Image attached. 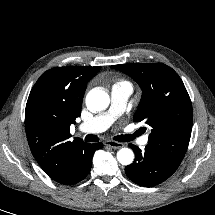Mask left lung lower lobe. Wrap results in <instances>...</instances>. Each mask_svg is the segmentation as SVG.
<instances>
[{
  "mask_svg": "<svg viewBox=\"0 0 215 215\" xmlns=\"http://www.w3.org/2000/svg\"><path fill=\"white\" fill-rule=\"evenodd\" d=\"M129 146L135 152V160L125 168V173L130 180L140 186L152 187L162 183L181 163L149 144L144 151L135 145L129 144Z\"/></svg>",
  "mask_w": 215,
  "mask_h": 215,
  "instance_id": "left-lung-lower-lobe-1",
  "label": "left lung lower lobe"
}]
</instances>
